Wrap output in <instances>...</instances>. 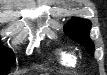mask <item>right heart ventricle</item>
<instances>
[{
    "mask_svg": "<svg viewBox=\"0 0 107 75\" xmlns=\"http://www.w3.org/2000/svg\"><path fill=\"white\" fill-rule=\"evenodd\" d=\"M57 58L61 65L66 67H75L77 57L71 48H62L57 50Z\"/></svg>",
    "mask_w": 107,
    "mask_h": 75,
    "instance_id": "obj_1",
    "label": "right heart ventricle"
}]
</instances>
